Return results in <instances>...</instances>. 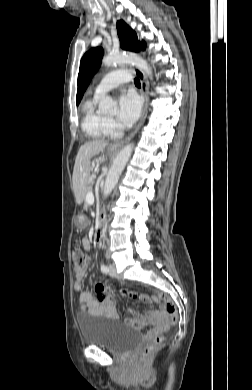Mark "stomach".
<instances>
[{
    "label": "stomach",
    "mask_w": 252,
    "mask_h": 390,
    "mask_svg": "<svg viewBox=\"0 0 252 390\" xmlns=\"http://www.w3.org/2000/svg\"><path fill=\"white\" fill-rule=\"evenodd\" d=\"M77 223L79 226H84L86 224V218L84 215H78Z\"/></svg>",
    "instance_id": "1"
}]
</instances>
